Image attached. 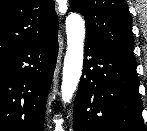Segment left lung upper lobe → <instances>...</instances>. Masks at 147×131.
I'll return each instance as SVG.
<instances>
[{
	"label": "left lung upper lobe",
	"mask_w": 147,
	"mask_h": 131,
	"mask_svg": "<svg viewBox=\"0 0 147 131\" xmlns=\"http://www.w3.org/2000/svg\"><path fill=\"white\" fill-rule=\"evenodd\" d=\"M86 21V40L99 43L135 61L132 18L125 0H70Z\"/></svg>",
	"instance_id": "obj_1"
}]
</instances>
